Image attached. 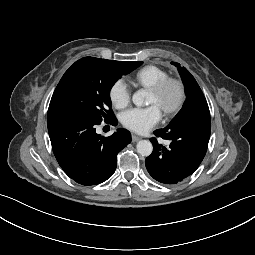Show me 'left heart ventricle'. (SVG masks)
<instances>
[{"instance_id": "b2bd125f", "label": "left heart ventricle", "mask_w": 255, "mask_h": 255, "mask_svg": "<svg viewBox=\"0 0 255 255\" xmlns=\"http://www.w3.org/2000/svg\"><path fill=\"white\" fill-rule=\"evenodd\" d=\"M177 89L175 86L168 87L162 94L156 95L149 91L148 103L156 104L160 109L167 108L174 104L177 99Z\"/></svg>"}]
</instances>
